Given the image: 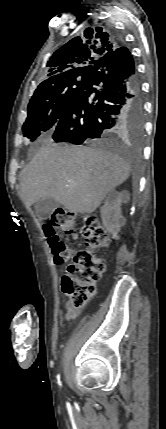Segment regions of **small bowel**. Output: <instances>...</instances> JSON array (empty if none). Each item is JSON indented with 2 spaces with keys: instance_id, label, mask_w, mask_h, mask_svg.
<instances>
[{
  "instance_id": "c3829d8e",
  "label": "small bowel",
  "mask_w": 166,
  "mask_h": 429,
  "mask_svg": "<svg viewBox=\"0 0 166 429\" xmlns=\"http://www.w3.org/2000/svg\"><path fill=\"white\" fill-rule=\"evenodd\" d=\"M79 313V310L71 305L66 306L65 318L70 320L75 318Z\"/></svg>"
}]
</instances>
